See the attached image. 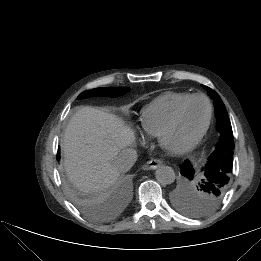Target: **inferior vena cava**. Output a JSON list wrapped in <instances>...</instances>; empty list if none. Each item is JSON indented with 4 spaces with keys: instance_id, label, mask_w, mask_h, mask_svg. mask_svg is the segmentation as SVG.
I'll use <instances>...</instances> for the list:
<instances>
[{
    "instance_id": "inferior-vena-cava-1",
    "label": "inferior vena cava",
    "mask_w": 261,
    "mask_h": 261,
    "mask_svg": "<svg viewBox=\"0 0 261 261\" xmlns=\"http://www.w3.org/2000/svg\"><path fill=\"white\" fill-rule=\"evenodd\" d=\"M138 158L137 151L132 148L123 149L114 161L115 168L124 173L131 169Z\"/></svg>"
}]
</instances>
